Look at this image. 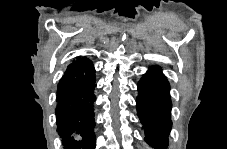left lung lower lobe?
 Instances as JSON below:
<instances>
[{"label": "left lung lower lobe", "instance_id": "1", "mask_svg": "<svg viewBox=\"0 0 227 149\" xmlns=\"http://www.w3.org/2000/svg\"><path fill=\"white\" fill-rule=\"evenodd\" d=\"M137 114L145 141L155 149H166L172 127L170 85L159 66H152L138 83Z\"/></svg>", "mask_w": 227, "mask_h": 149}]
</instances>
